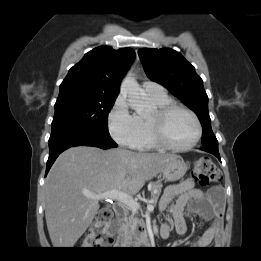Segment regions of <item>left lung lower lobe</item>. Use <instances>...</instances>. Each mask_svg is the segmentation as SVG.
<instances>
[{"instance_id":"obj_1","label":"left lung lower lobe","mask_w":261,"mask_h":261,"mask_svg":"<svg viewBox=\"0 0 261 261\" xmlns=\"http://www.w3.org/2000/svg\"><path fill=\"white\" fill-rule=\"evenodd\" d=\"M200 150L209 152L213 155H215L220 161V155H219V151H218V146H203L200 148Z\"/></svg>"}]
</instances>
